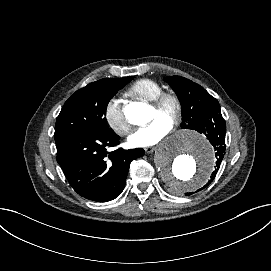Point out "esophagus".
I'll use <instances>...</instances> for the list:
<instances>
[{"mask_svg":"<svg viewBox=\"0 0 271 271\" xmlns=\"http://www.w3.org/2000/svg\"><path fill=\"white\" fill-rule=\"evenodd\" d=\"M155 149H156L155 146H148V147H145V148H144V150H145V152H146L147 154L154 152Z\"/></svg>","mask_w":271,"mask_h":271,"instance_id":"obj_1","label":"esophagus"}]
</instances>
